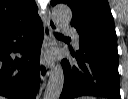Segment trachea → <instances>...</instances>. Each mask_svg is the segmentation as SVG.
<instances>
[{"label":"trachea","instance_id":"1","mask_svg":"<svg viewBox=\"0 0 128 99\" xmlns=\"http://www.w3.org/2000/svg\"><path fill=\"white\" fill-rule=\"evenodd\" d=\"M56 35L58 36V35H60L59 33H56Z\"/></svg>","mask_w":128,"mask_h":99}]
</instances>
